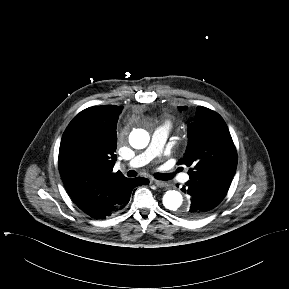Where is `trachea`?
<instances>
[{
	"label": "trachea",
	"instance_id": "1",
	"mask_svg": "<svg viewBox=\"0 0 289 289\" xmlns=\"http://www.w3.org/2000/svg\"><path fill=\"white\" fill-rule=\"evenodd\" d=\"M127 176L128 177H135L137 176V172L134 171V170H130L127 172ZM155 177L158 179V180H170L173 178V174H168V173H156L155 174Z\"/></svg>",
	"mask_w": 289,
	"mask_h": 289
}]
</instances>
